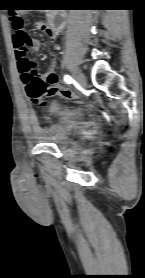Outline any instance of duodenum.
Instances as JSON below:
<instances>
[{
	"mask_svg": "<svg viewBox=\"0 0 145 278\" xmlns=\"http://www.w3.org/2000/svg\"><path fill=\"white\" fill-rule=\"evenodd\" d=\"M65 25L66 16L64 15V13L55 12L47 17L46 26L55 33H59L65 27Z\"/></svg>",
	"mask_w": 145,
	"mask_h": 278,
	"instance_id": "obj_1",
	"label": "duodenum"
}]
</instances>
